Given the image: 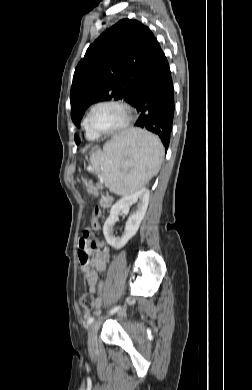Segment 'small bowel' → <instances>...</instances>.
Instances as JSON below:
<instances>
[{"instance_id":"small-bowel-1","label":"small bowel","mask_w":252,"mask_h":390,"mask_svg":"<svg viewBox=\"0 0 252 390\" xmlns=\"http://www.w3.org/2000/svg\"><path fill=\"white\" fill-rule=\"evenodd\" d=\"M86 254L88 260L84 264V267L89 272V278L87 279L89 290L95 294L97 290V284L99 279V273L105 271L107 263L110 259V252L108 247L99 240L90 230L84 231L82 237L78 242V258L81 263V257ZM92 258H90V256ZM103 290L104 283L98 284V294L94 299V309L98 310L102 306L103 302Z\"/></svg>"}]
</instances>
